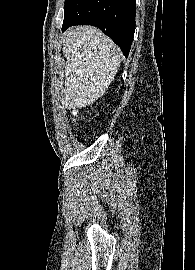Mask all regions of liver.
Returning <instances> with one entry per match:
<instances>
[{
    "label": "liver",
    "mask_w": 195,
    "mask_h": 270,
    "mask_svg": "<svg viewBox=\"0 0 195 270\" xmlns=\"http://www.w3.org/2000/svg\"><path fill=\"white\" fill-rule=\"evenodd\" d=\"M66 58L65 108H81L104 95L114 80L122 54L99 29L78 26L68 29L63 40Z\"/></svg>",
    "instance_id": "obj_1"
}]
</instances>
